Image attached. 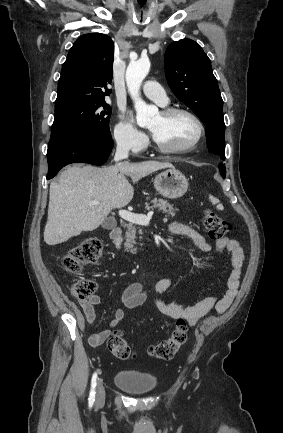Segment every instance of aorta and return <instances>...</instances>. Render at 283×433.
Listing matches in <instances>:
<instances>
[{
	"instance_id": "1",
	"label": "aorta",
	"mask_w": 283,
	"mask_h": 433,
	"mask_svg": "<svg viewBox=\"0 0 283 433\" xmlns=\"http://www.w3.org/2000/svg\"><path fill=\"white\" fill-rule=\"evenodd\" d=\"M150 70V61L147 58H141L128 65L126 70V84L129 94L134 102L136 110V120L139 126H146L152 118L158 113L155 106L148 105L140 96V87Z\"/></svg>"
}]
</instances>
